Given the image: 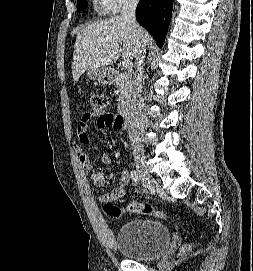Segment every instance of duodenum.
I'll return each instance as SVG.
<instances>
[{
  "instance_id": "410a0bca",
  "label": "duodenum",
  "mask_w": 253,
  "mask_h": 271,
  "mask_svg": "<svg viewBox=\"0 0 253 271\" xmlns=\"http://www.w3.org/2000/svg\"><path fill=\"white\" fill-rule=\"evenodd\" d=\"M131 121V113L128 108H121L115 118V123L119 128H125Z\"/></svg>"
}]
</instances>
